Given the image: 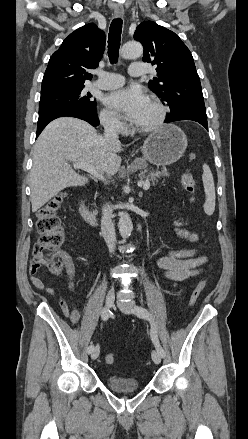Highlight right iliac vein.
<instances>
[{"label": "right iliac vein", "mask_w": 248, "mask_h": 439, "mask_svg": "<svg viewBox=\"0 0 248 439\" xmlns=\"http://www.w3.org/2000/svg\"><path fill=\"white\" fill-rule=\"evenodd\" d=\"M114 301H115L114 292L113 291H109L107 293V296H106V305H107V307L108 308H112L114 306ZM99 353H100V348H99V346H96L93 349V351L91 352V359L92 360L97 359L98 356H99Z\"/></svg>", "instance_id": "63e3f726"}]
</instances>
